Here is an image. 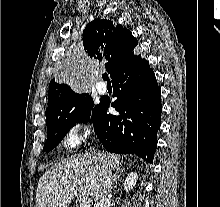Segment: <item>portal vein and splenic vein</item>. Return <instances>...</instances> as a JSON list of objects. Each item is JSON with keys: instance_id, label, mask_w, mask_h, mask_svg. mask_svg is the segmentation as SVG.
<instances>
[{"instance_id": "obj_1", "label": "portal vein and splenic vein", "mask_w": 220, "mask_h": 207, "mask_svg": "<svg viewBox=\"0 0 220 207\" xmlns=\"http://www.w3.org/2000/svg\"><path fill=\"white\" fill-rule=\"evenodd\" d=\"M91 200L89 198L81 199V207H90Z\"/></svg>"}]
</instances>
